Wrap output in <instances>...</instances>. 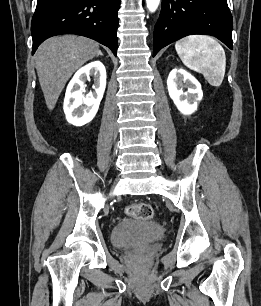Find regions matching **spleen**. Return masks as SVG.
I'll return each instance as SVG.
<instances>
[{
	"label": "spleen",
	"mask_w": 261,
	"mask_h": 306,
	"mask_svg": "<svg viewBox=\"0 0 261 306\" xmlns=\"http://www.w3.org/2000/svg\"><path fill=\"white\" fill-rule=\"evenodd\" d=\"M175 49L184 65L202 73L210 85L219 87L222 84L226 56L215 39L207 35H190L177 41Z\"/></svg>",
	"instance_id": "spleen-1"
}]
</instances>
